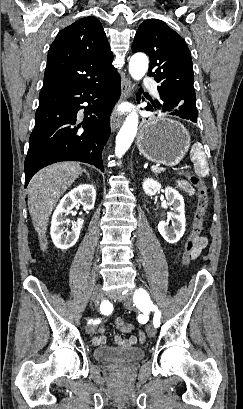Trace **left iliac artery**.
<instances>
[{"label": "left iliac artery", "instance_id": "left-iliac-artery-1", "mask_svg": "<svg viewBox=\"0 0 243 409\" xmlns=\"http://www.w3.org/2000/svg\"><path fill=\"white\" fill-rule=\"evenodd\" d=\"M145 291L142 289H139L135 292L134 300L136 304H140L143 299H145ZM147 297V296H146ZM147 304L149 305L150 309L154 311V318H153V323L155 327L160 326V317H161V312L159 311L158 307L154 304H152L149 300L147 301Z\"/></svg>", "mask_w": 243, "mask_h": 409}]
</instances>
